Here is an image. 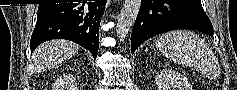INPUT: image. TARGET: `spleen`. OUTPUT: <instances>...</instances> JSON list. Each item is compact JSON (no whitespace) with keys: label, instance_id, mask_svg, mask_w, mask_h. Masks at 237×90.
I'll return each instance as SVG.
<instances>
[{"label":"spleen","instance_id":"1","mask_svg":"<svg viewBox=\"0 0 237 90\" xmlns=\"http://www.w3.org/2000/svg\"><path fill=\"white\" fill-rule=\"evenodd\" d=\"M156 48L164 58L175 64L189 66L203 76H210L217 68L212 48L198 34L189 30H174L159 36Z\"/></svg>","mask_w":237,"mask_h":90}]
</instances>
